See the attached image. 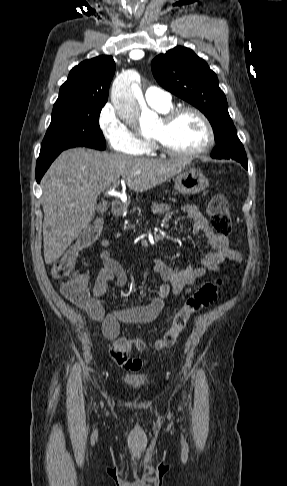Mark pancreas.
I'll use <instances>...</instances> for the list:
<instances>
[{
    "mask_svg": "<svg viewBox=\"0 0 287 486\" xmlns=\"http://www.w3.org/2000/svg\"><path fill=\"white\" fill-rule=\"evenodd\" d=\"M135 210H136V209H135V208H133V210H132L131 212H132V213H134V212H135Z\"/></svg>",
    "mask_w": 287,
    "mask_h": 486,
    "instance_id": "1",
    "label": "pancreas"
}]
</instances>
